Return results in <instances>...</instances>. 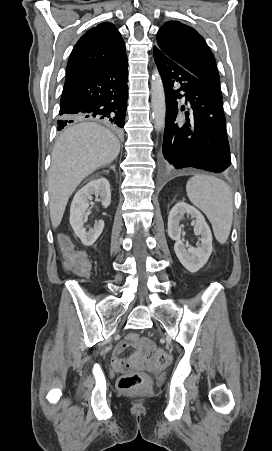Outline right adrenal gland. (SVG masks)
<instances>
[{
  "instance_id": "2a0ac1e0",
  "label": "right adrenal gland",
  "mask_w": 272,
  "mask_h": 451,
  "mask_svg": "<svg viewBox=\"0 0 272 451\" xmlns=\"http://www.w3.org/2000/svg\"><path fill=\"white\" fill-rule=\"evenodd\" d=\"M110 170H114V172H116L115 166H111Z\"/></svg>"
}]
</instances>
